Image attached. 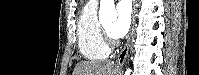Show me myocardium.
I'll list each match as a JSON object with an SVG mask.
<instances>
[{"instance_id":"1","label":"myocardium","mask_w":199,"mask_h":75,"mask_svg":"<svg viewBox=\"0 0 199 75\" xmlns=\"http://www.w3.org/2000/svg\"><path fill=\"white\" fill-rule=\"evenodd\" d=\"M101 28H102L103 35L106 38V40H105V41H107L106 43L112 45L113 44V39L110 37L107 29L104 26H101Z\"/></svg>"}]
</instances>
